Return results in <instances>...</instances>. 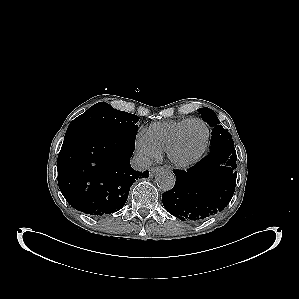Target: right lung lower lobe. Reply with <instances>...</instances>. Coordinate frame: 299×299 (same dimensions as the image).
<instances>
[{
    "label": "right lung lower lobe",
    "instance_id": "obj_1",
    "mask_svg": "<svg viewBox=\"0 0 299 299\" xmlns=\"http://www.w3.org/2000/svg\"><path fill=\"white\" fill-rule=\"evenodd\" d=\"M136 132L72 131L65 134L57 166L58 184L76 210L102 216L120 210L130 187L149 172L132 169Z\"/></svg>",
    "mask_w": 299,
    "mask_h": 299
}]
</instances>
